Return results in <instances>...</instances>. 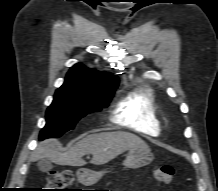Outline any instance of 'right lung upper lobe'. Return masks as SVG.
I'll return each mask as SVG.
<instances>
[{
	"mask_svg": "<svg viewBox=\"0 0 218 191\" xmlns=\"http://www.w3.org/2000/svg\"><path fill=\"white\" fill-rule=\"evenodd\" d=\"M118 84L115 75L89 69L78 63L69 70L59 90L79 96L108 97L113 96Z\"/></svg>",
	"mask_w": 218,
	"mask_h": 191,
	"instance_id": "1",
	"label": "right lung upper lobe"
}]
</instances>
